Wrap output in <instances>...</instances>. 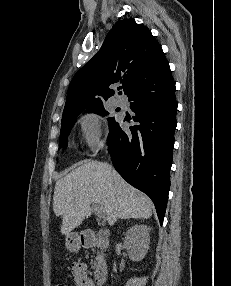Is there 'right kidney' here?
I'll return each instance as SVG.
<instances>
[{
  "label": "right kidney",
  "mask_w": 231,
  "mask_h": 286,
  "mask_svg": "<svg viewBox=\"0 0 231 286\" xmlns=\"http://www.w3.org/2000/svg\"><path fill=\"white\" fill-rule=\"evenodd\" d=\"M149 228L146 225H134L125 235L124 245L133 261H141L149 249Z\"/></svg>",
  "instance_id": "1"
}]
</instances>
